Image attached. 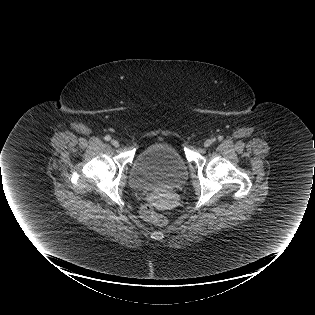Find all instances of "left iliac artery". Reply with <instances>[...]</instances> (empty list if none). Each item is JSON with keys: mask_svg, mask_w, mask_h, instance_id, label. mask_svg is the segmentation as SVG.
I'll return each instance as SVG.
<instances>
[{"mask_svg": "<svg viewBox=\"0 0 315 315\" xmlns=\"http://www.w3.org/2000/svg\"><path fill=\"white\" fill-rule=\"evenodd\" d=\"M218 139L221 141V140L223 139V137H222V136H219Z\"/></svg>", "mask_w": 315, "mask_h": 315, "instance_id": "44dca946", "label": "left iliac artery"}]
</instances>
